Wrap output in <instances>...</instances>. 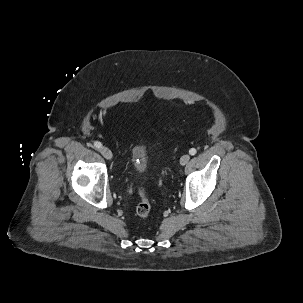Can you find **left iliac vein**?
I'll return each mask as SVG.
<instances>
[{"instance_id": "4c4485c4", "label": "left iliac vein", "mask_w": 303, "mask_h": 303, "mask_svg": "<svg viewBox=\"0 0 303 303\" xmlns=\"http://www.w3.org/2000/svg\"><path fill=\"white\" fill-rule=\"evenodd\" d=\"M190 160V155L188 154H184L181 158H180V164L182 166L186 165L188 163V161Z\"/></svg>"}]
</instances>
